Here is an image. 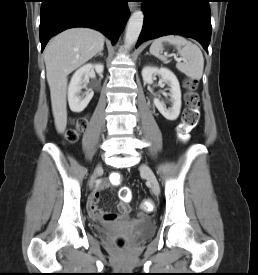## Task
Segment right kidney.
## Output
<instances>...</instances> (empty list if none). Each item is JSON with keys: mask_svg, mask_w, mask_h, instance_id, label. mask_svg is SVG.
Masks as SVG:
<instances>
[{"mask_svg": "<svg viewBox=\"0 0 258 275\" xmlns=\"http://www.w3.org/2000/svg\"><path fill=\"white\" fill-rule=\"evenodd\" d=\"M94 70L99 75H102L104 70L103 64H86L79 68L72 76L68 87V102L73 112H82L92 99L94 93L91 90H88L83 96L80 94L82 88L86 87V83Z\"/></svg>", "mask_w": 258, "mask_h": 275, "instance_id": "right-kidney-1", "label": "right kidney"}]
</instances>
